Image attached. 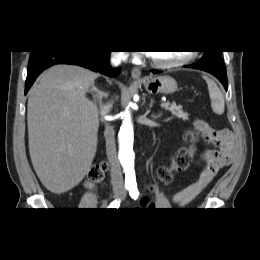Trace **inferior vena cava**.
Wrapping results in <instances>:
<instances>
[{
    "label": "inferior vena cava",
    "instance_id": "602c4592",
    "mask_svg": "<svg viewBox=\"0 0 260 260\" xmlns=\"http://www.w3.org/2000/svg\"><path fill=\"white\" fill-rule=\"evenodd\" d=\"M127 58L128 56L125 52L111 53V63L113 66H118L122 62L126 61ZM111 107H112V103H108L105 106H103V110L109 112ZM105 138H106V152H107L108 162L110 164L112 185L114 188L123 189L124 182H123V176H122L120 164L116 155L114 129L110 125L106 126Z\"/></svg>",
    "mask_w": 260,
    "mask_h": 260
}]
</instances>
